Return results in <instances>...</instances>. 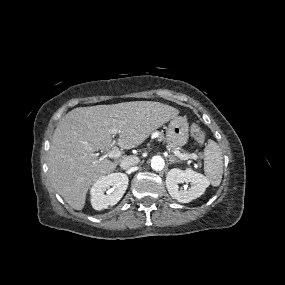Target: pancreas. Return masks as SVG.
<instances>
[{
	"label": "pancreas",
	"instance_id": "obj_1",
	"mask_svg": "<svg viewBox=\"0 0 285 285\" xmlns=\"http://www.w3.org/2000/svg\"><path fill=\"white\" fill-rule=\"evenodd\" d=\"M160 138H162V137H160ZM168 148H169V149H172V150H177V148L172 147L171 145H168Z\"/></svg>",
	"mask_w": 285,
	"mask_h": 285
}]
</instances>
